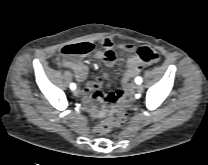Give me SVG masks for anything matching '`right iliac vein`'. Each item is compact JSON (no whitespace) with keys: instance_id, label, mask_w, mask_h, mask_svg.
Returning <instances> with one entry per match:
<instances>
[{"instance_id":"63e3f726","label":"right iliac vein","mask_w":208,"mask_h":165,"mask_svg":"<svg viewBox=\"0 0 208 165\" xmlns=\"http://www.w3.org/2000/svg\"><path fill=\"white\" fill-rule=\"evenodd\" d=\"M73 95L76 96V97H78L80 95V91L78 89H75L73 91Z\"/></svg>"}]
</instances>
